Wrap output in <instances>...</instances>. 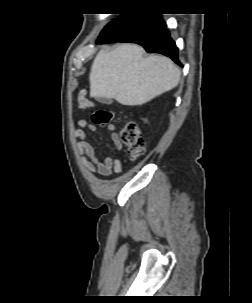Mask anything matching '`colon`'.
<instances>
[{
    "mask_svg": "<svg viewBox=\"0 0 252 303\" xmlns=\"http://www.w3.org/2000/svg\"><path fill=\"white\" fill-rule=\"evenodd\" d=\"M79 105L83 108L93 106L90 101L79 97ZM114 115L112 111L105 109H98L91 115V121L97 125H106L113 121ZM121 142L125 145L130 157L135 159L139 157L144 150L142 137L136 124L133 121H127L120 133Z\"/></svg>",
    "mask_w": 252,
    "mask_h": 303,
    "instance_id": "1",
    "label": "colon"
}]
</instances>
